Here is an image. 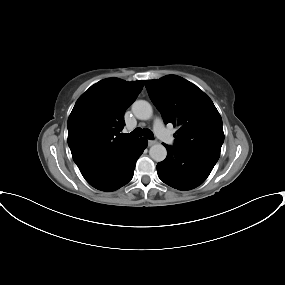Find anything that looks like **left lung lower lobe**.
I'll return each mask as SVG.
<instances>
[{
    "label": "left lung lower lobe",
    "instance_id": "obj_1",
    "mask_svg": "<svg viewBox=\"0 0 285 285\" xmlns=\"http://www.w3.org/2000/svg\"><path fill=\"white\" fill-rule=\"evenodd\" d=\"M164 145L167 157L157 164V173L161 181L179 190H190L202 184L217 162L175 146Z\"/></svg>",
    "mask_w": 285,
    "mask_h": 285
}]
</instances>
